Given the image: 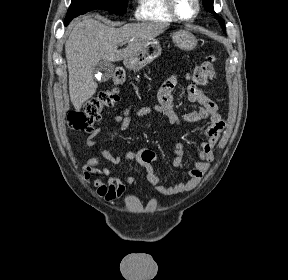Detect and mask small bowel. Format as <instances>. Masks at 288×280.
<instances>
[{
    "label": "small bowel",
    "instance_id": "c3829d8e",
    "mask_svg": "<svg viewBox=\"0 0 288 280\" xmlns=\"http://www.w3.org/2000/svg\"><path fill=\"white\" fill-rule=\"evenodd\" d=\"M176 85L177 76L173 75L159 88L157 94L158 104L154 107L139 108L135 114L137 117L161 114L167 117L171 124L175 125L198 123L203 121L210 122L204 130L205 140L200 144L196 158L192 162V168L188 171L189 178L187 180L173 185L163 184L162 179L155 174L153 169V165L158 164V158L155 153L148 148L129 151L124 157H120L106 150L102 146L98 145L96 140L103 130L102 127L95 129L86 140V145L88 147H96L100 156L117 165L120 170L125 161H137L146 171L148 183L158 193L168 196L188 192L194 189L201 182L203 176L214 160L215 146L225 128V121L218 113L216 103L195 84L188 86V99L191 102L198 103L199 108L183 115H178L175 111L173 102V90ZM114 122L120 124L121 131H125L131 124L132 118L117 116L114 118ZM185 153L186 149L184 144H177L175 147L176 156L173 160V165L175 167L182 168L184 166ZM93 174L97 175V178L93 181L96 194L107 202H113L121 198L126 191L127 185H132L134 183V177L128 174H125L123 179L111 176L109 168L104 166L97 158H90L88 164L83 167V176L86 180H89L90 176Z\"/></svg>",
    "mask_w": 288,
    "mask_h": 280
}]
</instances>
